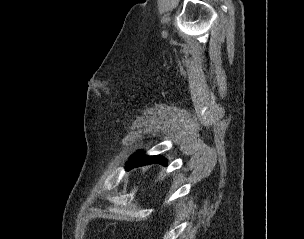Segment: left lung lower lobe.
<instances>
[{
  "label": "left lung lower lobe",
  "instance_id": "1",
  "mask_svg": "<svg viewBox=\"0 0 304 239\" xmlns=\"http://www.w3.org/2000/svg\"><path fill=\"white\" fill-rule=\"evenodd\" d=\"M152 163L166 165L167 160L161 156H145L141 151H138L130 157V160L126 164V168L129 170L132 167L144 166Z\"/></svg>",
  "mask_w": 304,
  "mask_h": 239
}]
</instances>
